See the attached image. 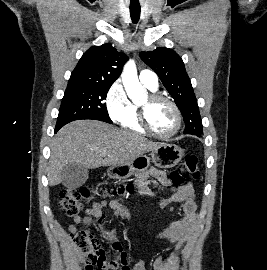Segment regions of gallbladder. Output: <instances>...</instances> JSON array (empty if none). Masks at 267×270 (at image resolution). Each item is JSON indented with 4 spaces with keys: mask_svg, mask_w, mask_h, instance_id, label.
<instances>
[{
    "mask_svg": "<svg viewBox=\"0 0 267 270\" xmlns=\"http://www.w3.org/2000/svg\"><path fill=\"white\" fill-rule=\"evenodd\" d=\"M88 177V169L78 163H68L62 170V184L70 189L81 187Z\"/></svg>",
    "mask_w": 267,
    "mask_h": 270,
    "instance_id": "bac80fb5",
    "label": "gallbladder"
}]
</instances>
